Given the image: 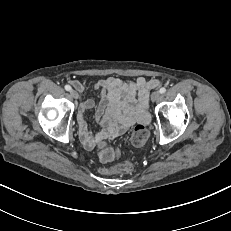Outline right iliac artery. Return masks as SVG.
<instances>
[{
  "label": "right iliac artery",
  "mask_w": 231,
  "mask_h": 231,
  "mask_svg": "<svg viewBox=\"0 0 231 231\" xmlns=\"http://www.w3.org/2000/svg\"><path fill=\"white\" fill-rule=\"evenodd\" d=\"M71 89H72V88H71L70 85H65V90H66V91H71Z\"/></svg>",
  "instance_id": "1"
}]
</instances>
